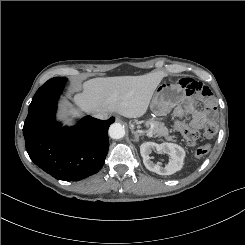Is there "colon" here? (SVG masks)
I'll return each instance as SVG.
<instances>
[{
  "label": "colon",
  "mask_w": 245,
  "mask_h": 245,
  "mask_svg": "<svg viewBox=\"0 0 245 245\" xmlns=\"http://www.w3.org/2000/svg\"><path fill=\"white\" fill-rule=\"evenodd\" d=\"M175 128L183 134L185 140L189 144L193 145L197 142L199 135L196 130L189 128L181 121H177L175 123ZM217 129V125L214 122H209L204 128V134L207 137H212L217 133ZM209 150V145H201L196 149V156L199 158L204 157L206 154H208Z\"/></svg>",
  "instance_id": "5ec220e1"
}]
</instances>
